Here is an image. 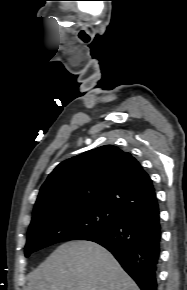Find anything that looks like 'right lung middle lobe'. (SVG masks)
I'll use <instances>...</instances> for the list:
<instances>
[{
    "instance_id": "obj_1",
    "label": "right lung middle lobe",
    "mask_w": 187,
    "mask_h": 290,
    "mask_svg": "<svg viewBox=\"0 0 187 290\" xmlns=\"http://www.w3.org/2000/svg\"><path fill=\"white\" fill-rule=\"evenodd\" d=\"M124 217L104 205L84 206L46 215L30 224L25 256L58 242L85 239L119 224Z\"/></svg>"
}]
</instances>
